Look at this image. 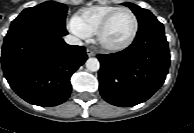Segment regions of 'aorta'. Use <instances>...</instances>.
Wrapping results in <instances>:
<instances>
[{
	"label": "aorta",
	"mask_w": 194,
	"mask_h": 133,
	"mask_svg": "<svg viewBox=\"0 0 194 133\" xmlns=\"http://www.w3.org/2000/svg\"><path fill=\"white\" fill-rule=\"evenodd\" d=\"M86 68L89 71L95 72L100 68V62L97 58H89L86 63Z\"/></svg>",
	"instance_id": "1"
}]
</instances>
